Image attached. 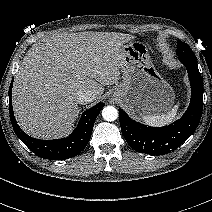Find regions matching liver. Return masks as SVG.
<instances>
[{"instance_id":"1","label":"liver","mask_w":212,"mask_h":212,"mask_svg":"<svg viewBox=\"0 0 212 212\" xmlns=\"http://www.w3.org/2000/svg\"><path fill=\"white\" fill-rule=\"evenodd\" d=\"M129 34L59 33L45 37L26 53L16 74L12 102L20 127L51 139L69 133L79 113L77 92L100 98L117 83L120 48Z\"/></svg>"}]
</instances>
